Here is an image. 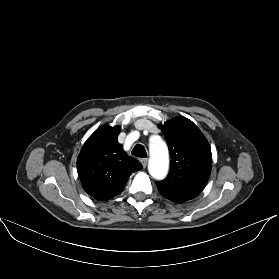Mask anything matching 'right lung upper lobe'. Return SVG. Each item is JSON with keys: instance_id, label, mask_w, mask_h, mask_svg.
I'll return each mask as SVG.
<instances>
[{"instance_id": "cb5924a9", "label": "right lung upper lobe", "mask_w": 279, "mask_h": 279, "mask_svg": "<svg viewBox=\"0 0 279 279\" xmlns=\"http://www.w3.org/2000/svg\"><path fill=\"white\" fill-rule=\"evenodd\" d=\"M120 127L103 125L84 143L77 171L84 190L93 198L109 200L122 192L129 176L143 168L118 142Z\"/></svg>"}]
</instances>
